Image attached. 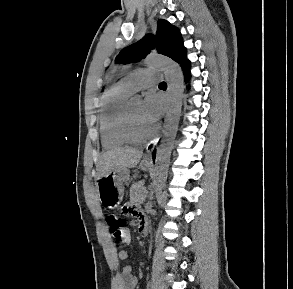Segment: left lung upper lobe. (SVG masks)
Here are the masks:
<instances>
[{"label": "left lung upper lobe", "mask_w": 293, "mask_h": 289, "mask_svg": "<svg viewBox=\"0 0 293 289\" xmlns=\"http://www.w3.org/2000/svg\"><path fill=\"white\" fill-rule=\"evenodd\" d=\"M157 43V51L178 62L184 63L186 58V48L183 45L179 29L171 25L168 21L160 19L157 22V34L146 35L139 42L121 50L116 57L117 63L137 62L144 58Z\"/></svg>", "instance_id": "1"}]
</instances>
